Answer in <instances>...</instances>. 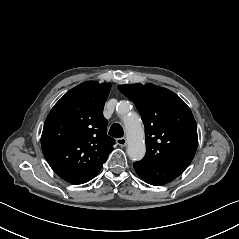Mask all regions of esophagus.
Segmentation results:
<instances>
[{"label":"esophagus","mask_w":239,"mask_h":239,"mask_svg":"<svg viewBox=\"0 0 239 239\" xmlns=\"http://www.w3.org/2000/svg\"><path fill=\"white\" fill-rule=\"evenodd\" d=\"M116 142H117V144L118 145H120V146H122V147H124V146H126L127 145V140H126V138H118L117 140H116Z\"/></svg>","instance_id":"1"}]
</instances>
